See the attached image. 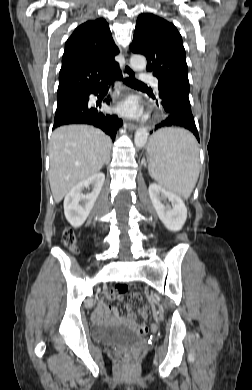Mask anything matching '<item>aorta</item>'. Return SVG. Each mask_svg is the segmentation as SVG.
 Wrapping results in <instances>:
<instances>
[{
	"label": "aorta",
	"mask_w": 252,
	"mask_h": 390,
	"mask_svg": "<svg viewBox=\"0 0 252 390\" xmlns=\"http://www.w3.org/2000/svg\"><path fill=\"white\" fill-rule=\"evenodd\" d=\"M147 62L144 56L133 55L130 58V66L136 71H142L146 68ZM149 132L146 127H140L137 129L134 137L135 146L142 148L148 139Z\"/></svg>",
	"instance_id": "762f6f07"
}]
</instances>
